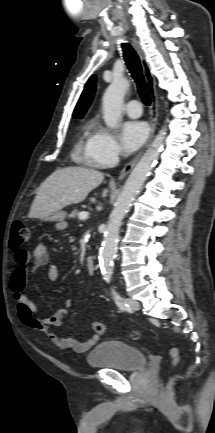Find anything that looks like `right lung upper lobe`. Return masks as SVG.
Returning a JSON list of instances; mask_svg holds the SVG:
<instances>
[{
	"mask_svg": "<svg viewBox=\"0 0 215 433\" xmlns=\"http://www.w3.org/2000/svg\"><path fill=\"white\" fill-rule=\"evenodd\" d=\"M95 83H96L95 75H92L89 78L88 82L86 83L82 95L75 107V110L73 112L74 118L80 119L83 117L84 113L86 112L87 108L89 107L92 101L95 92Z\"/></svg>",
	"mask_w": 215,
	"mask_h": 433,
	"instance_id": "1",
	"label": "right lung upper lobe"
}]
</instances>
